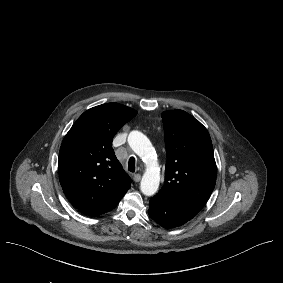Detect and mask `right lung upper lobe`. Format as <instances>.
<instances>
[{
    "label": "right lung upper lobe",
    "mask_w": 283,
    "mask_h": 283,
    "mask_svg": "<svg viewBox=\"0 0 283 283\" xmlns=\"http://www.w3.org/2000/svg\"><path fill=\"white\" fill-rule=\"evenodd\" d=\"M137 112L107 103L84 112L63 139L59 178L63 191L79 211L99 216L114 209L132 182L112 148L118 130Z\"/></svg>",
    "instance_id": "1"
}]
</instances>
